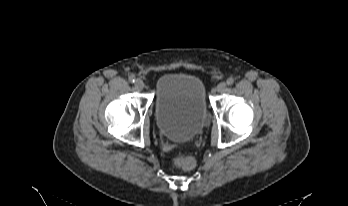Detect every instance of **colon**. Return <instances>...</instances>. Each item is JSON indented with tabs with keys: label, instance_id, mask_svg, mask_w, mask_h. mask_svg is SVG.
Returning a JSON list of instances; mask_svg holds the SVG:
<instances>
[{
	"label": "colon",
	"instance_id": "1",
	"mask_svg": "<svg viewBox=\"0 0 348 206\" xmlns=\"http://www.w3.org/2000/svg\"><path fill=\"white\" fill-rule=\"evenodd\" d=\"M174 164L179 169L191 170L195 166V161L189 155H179L175 158Z\"/></svg>",
	"mask_w": 348,
	"mask_h": 206
}]
</instances>
